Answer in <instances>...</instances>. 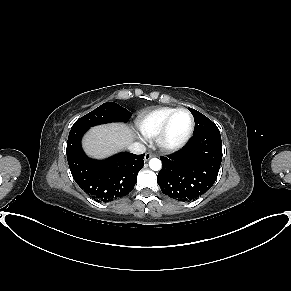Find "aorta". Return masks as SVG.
Returning <instances> with one entry per match:
<instances>
[{
	"label": "aorta",
	"mask_w": 291,
	"mask_h": 291,
	"mask_svg": "<svg viewBox=\"0 0 291 291\" xmlns=\"http://www.w3.org/2000/svg\"><path fill=\"white\" fill-rule=\"evenodd\" d=\"M149 167H150L152 170H154V171H158V170L161 169V167H162V163H161V161H160L159 159H157V158H152V159H150V161H149Z\"/></svg>",
	"instance_id": "762f6f07"
}]
</instances>
